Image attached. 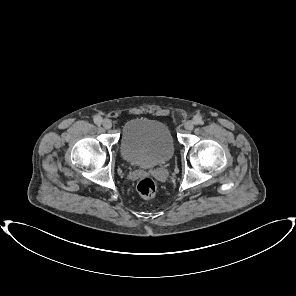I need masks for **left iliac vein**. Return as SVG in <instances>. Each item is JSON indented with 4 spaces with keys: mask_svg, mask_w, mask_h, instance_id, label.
<instances>
[{
    "mask_svg": "<svg viewBox=\"0 0 296 296\" xmlns=\"http://www.w3.org/2000/svg\"><path fill=\"white\" fill-rule=\"evenodd\" d=\"M184 128L187 130V131H191L193 128H194V121H187L185 124H184Z\"/></svg>",
    "mask_w": 296,
    "mask_h": 296,
    "instance_id": "4c4485c4",
    "label": "left iliac vein"
}]
</instances>
